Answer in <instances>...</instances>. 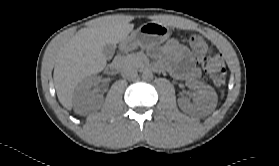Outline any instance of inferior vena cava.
Returning <instances> with one entry per match:
<instances>
[{
	"label": "inferior vena cava",
	"mask_w": 279,
	"mask_h": 166,
	"mask_svg": "<svg viewBox=\"0 0 279 166\" xmlns=\"http://www.w3.org/2000/svg\"><path fill=\"white\" fill-rule=\"evenodd\" d=\"M137 75H138V73L134 69H129L122 73V76L127 79H133V78L137 77Z\"/></svg>",
	"instance_id": "1"
}]
</instances>
